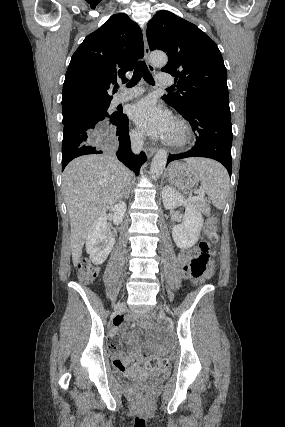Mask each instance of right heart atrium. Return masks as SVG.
Returning <instances> with one entry per match:
<instances>
[{
	"mask_svg": "<svg viewBox=\"0 0 285 427\" xmlns=\"http://www.w3.org/2000/svg\"><path fill=\"white\" fill-rule=\"evenodd\" d=\"M132 138L134 141H140L141 140V135L138 132H133L132 133Z\"/></svg>",
	"mask_w": 285,
	"mask_h": 427,
	"instance_id": "d8ad5b80",
	"label": "right heart atrium"
}]
</instances>
